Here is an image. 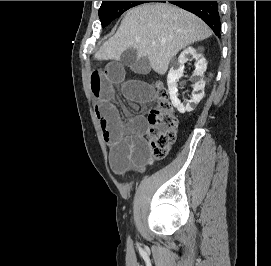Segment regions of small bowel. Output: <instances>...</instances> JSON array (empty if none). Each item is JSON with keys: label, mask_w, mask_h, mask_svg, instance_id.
<instances>
[{"label": "small bowel", "mask_w": 271, "mask_h": 266, "mask_svg": "<svg viewBox=\"0 0 271 266\" xmlns=\"http://www.w3.org/2000/svg\"><path fill=\"white\" fill-rule=\"evenodd\" d=\"M126 66L136 73H146L148 64L141 59L124 63L110 61L104 68L90 75V88L95 99V114L103 138L110 146V165L114 172L125 173L130 169L144 171L152 163L145 139L146 119L136 116L124 123L115 104V88L135 103H144L154 97L149 84L126 79Z\"/></svg>", "instance_id": "small-bowel-1"}]
</instances>
